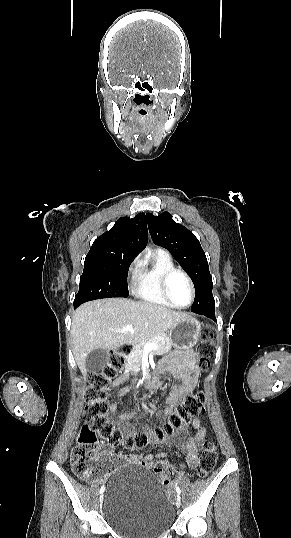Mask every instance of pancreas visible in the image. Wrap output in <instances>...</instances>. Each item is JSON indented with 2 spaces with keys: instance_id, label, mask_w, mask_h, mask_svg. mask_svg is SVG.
<instances>
[{
  "instance_id": "cf45deb5",
  "label": "pancreas",
  "mask_w": 291,
  "mask_h": 538,
  "mask_svg": "<svg viewBox=\"0 0 291 538\" xmlns=\"http://www.w3.org/2000/svg\"><path fill=\"white\" fill-rule=\"evenodd\" d=\"M148 343H155L156 349H152L149 352L154 355H162L171 350L172 343L166 336L150 338L148 340L141 341L134 346L133 352L126 357V367L139 371L143 355L145 354L144 345Z\"/></svg>"
}]
</instances>
